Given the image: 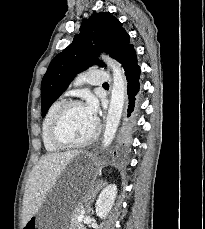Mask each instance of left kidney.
Here are the masks:
<instances>
[{
  "label": "left kidney",
  "mask_w": 205,
  "mask_h": 229,
  "mask_svg": "<svg viewBox=\"0 0 205 229\" xmlns=\"http://www.w3.org/2000/svg\"><path fill=\"white\" fill-rule=\"evenodd\" d=\"M117 194L115 184L107 185L100 193L96 201V214L100 218H105L111 210Z\"/></svg>",
  "instance_id": "left-kidney-1"
}]
</instances>
